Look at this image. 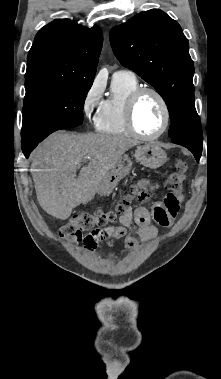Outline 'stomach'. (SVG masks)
<instances>
[{
	"mask_svg": "<svg viewBox=\"0 0 221 379\" xmlns=\"http://www.w3.org/2000/svg\"><path fill=\"white\" fill-rule=\"evenodd\" d=\"M134 157L137 162L151 169L159 168L167 160L165 151L157 143L139 145ZM131 167V159L127 155H123L116 165L103 177L98 190L99 194L109 195L120 180L130 172Z\"/></svg>",
	"mask_w": 221,
	"mask_h": 379,
	"instance_id": "1",
	"label": "stomach"
}]
</instances>
